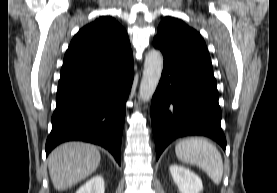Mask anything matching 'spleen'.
Instances as JSON below:
<instances>
[{
	"instance_id": "spleen-1",
	"label": "spleen",
	"mask_w": 277,
	"mask_h": 193,
	"mask_svg": "<svg viewBox=\"0 0 277 193\" xmlns=\"http://www.w3.org/2000/svg\"><path fill=\"white\" fill-rule=\"evenodd\" d=\"M179 160L200 167L215 184H220L223 176V160L215 145L205 138L190 137L175 146Z\"/></svg>"
}]
</instances>
